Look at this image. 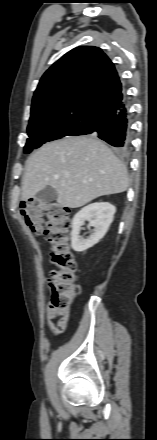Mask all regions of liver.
Returning a JSON list of instances; mask_svg holds the SVG:
<instances>
[{"label":"liver","instance_id":"1","mask_svg":"<svg viewBox=\"0 0 157 440\" xmlns=\"http://www.w3.org/2000/svg\"><path fill=\"white\" fill-rule=\"evenodd\" d=\"M126 166L95 136L47 143L25 164L22 199L50 186L63 207L78 208L93 199L128 188Z\"/></svg>","mask_w":157,"mask_h":440}]
</instances>
